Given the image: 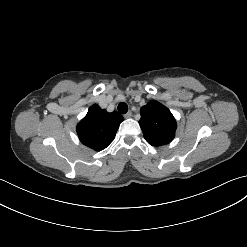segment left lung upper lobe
Instances as JSON below:
<instances>
[{
	"instance_id": "5c2ea615",
	"label": "left lung upper lobe",
	"mask_w": 247,
	"mask_h": 247,
	"mask_svg": "<svg viewBox=\"0 0 247 247\" xmlns=\"http://www.w3.org/2000/svg\"><path fill=\"white\" fill-rule=\"evenodd\" d=\"M139 124L144 138L152 146L169 144L175 136V118L168 108L155 100L141 108Z\"/></svg>"
}]
</instances>
